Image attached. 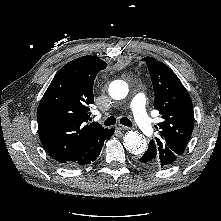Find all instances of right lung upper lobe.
I'll list each match as a JSON object with an SVG mask.
<instances>
[{
  "instance_id": "obj_1",
  "label": "right lung upper lobe",
  "mask_w": 221,
  "mask_h": 221,
  "mask_svg": "<svg viewBox=\"0 0 221 221\" xmlns=\"http://www.w3.org/2000/svg\"><path fill=\"white\" fill-rule=\"evenodd\" d=\"M106 67V62L96 56L77 58L55 75L43 95L37 109L38 132L44 148L56 161H78L107 129L89 122L94 79Z\"/></svg>"
}]
</instances>
